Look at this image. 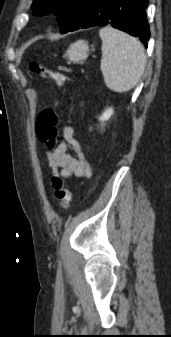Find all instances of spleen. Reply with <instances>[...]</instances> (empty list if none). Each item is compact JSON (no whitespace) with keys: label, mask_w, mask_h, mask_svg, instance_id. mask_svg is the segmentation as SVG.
Listing matches in <instances>:
<instances>
[{"label":"spleen","mask_w":171,"mask_h":337,"mask_svg":"<svg viewBox=\"0 0 171 337\" xmlns=\"http://www.w3.org/2000/svg\"><path fill=\"white\" fill-rule=\"evenodd\" d=\"M99 35L102 40L100 69L106 86L117 93L131 90L145 70L143 45L134 37L110 26L100 29Z\"/></svg>","instance_id":"obj_1"}]
</instances>
